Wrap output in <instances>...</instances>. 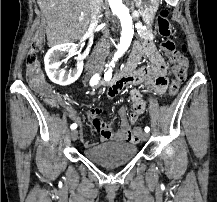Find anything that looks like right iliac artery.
I'll return each instance as SVG.
<instances>
[{"instance_id": "1", "label": "right iliac artery", "mask_w": 217, "mask_h": 202, "mask_svg": "<svg viewBox=\"0 0 217 202\" xmlns=\"http://www.w3.org/2000/svg\"><path fill=\"white\" fill-rule=\"evenodd\" d=\"M100 79L99 77V74H95L91 79H90V85L91 86H94L98 83V80ZM70 128L72 130L76 129L77 128V124L76 123H73Z\"/></svg>"}]
</instances>
